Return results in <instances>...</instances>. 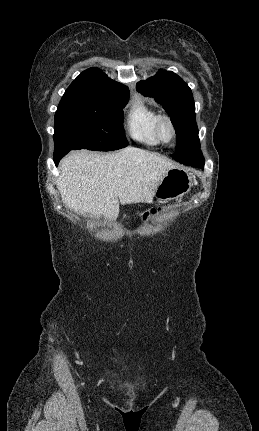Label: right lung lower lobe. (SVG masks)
Wrapping results in <instances>:
<instances>
[{"mask_svg":"<svg viewBox=\"0 0 259 431\" xmlns=\"http://www.w3.org/2000/svg\"><path fill=\"white\" fill-rule=\"evenodd\" d=\"M69 151H58V152H54V163L56 164V166L58 165L59 161L68 153Z\"/></svg>","mask_w":259,"mask_h":431,"instance_id":"right-lung-lower-lobe-1","label":"right lung lower lobe"}]
</instances>
